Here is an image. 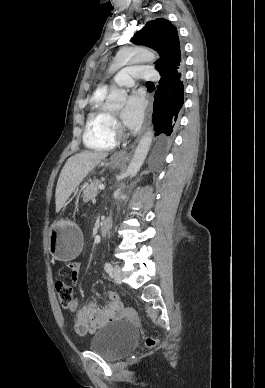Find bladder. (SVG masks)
Wrapping results in <instances>:
<instances>
[{
	"label": "bladder",
	"instance_id": "31cf9c89",
	"mask_svg": "<svg viewBox=\"0 0 265 388\" xmlns=\"http://www.w3.org/2000/svg\"><path fill=\"white\" fill-rule=\"evenodd\" d=\"M136 334V327L128 321L111 322L95 333L94 339L89 343V349L115 358L132 347Z\"/></svg>",
	"mask_w": 265,
	"mask_h": 388
}]
</instances>
